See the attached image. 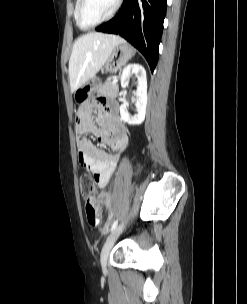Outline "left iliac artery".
<instances>
[{
  "instance_id": "obj_1",
  "label": "left iliac artery",
  "mask_w": 247,
  "mask_h": 304,
  "mask_svg": "<svg viewBox=\"0 0 247 304\" xmlns=\"http://www.w3.org/2000/svg\"><path fill=\"white\" fill-rule=\"evenodd\" d=\"M117 224H118V220H115L111 226V231H113L117 227Z\"/></svg>"
}]
</instances>
